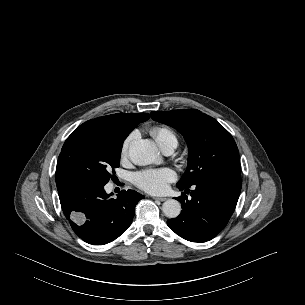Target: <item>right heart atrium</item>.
Instances as JSON below:
<instances>
[{
  "label": "right heart atrium",
  "mask_w": 305,
  "mask_h": 305,
  "mask_svg": "<svg viewBox=\"0 0 305 305\" xmlns=\"http://www.w3.org/2000/svg\"><path fill=\"white\" fill-rule=\"evenodd\" d=\"M134 134L129 135L123 142L120 150V155L122 159H126L129 155V149L133 142Z\"/></svg>",
  "instance_id": "d8ad5b80"
}]
</instances>
